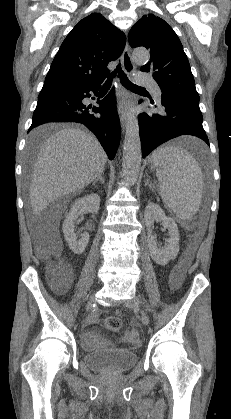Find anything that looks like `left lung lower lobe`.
I'll list each match as a JSON object with an SVG mask.
<instances>
[{
    "mask_svg": "<svg viewBox=\"0 0 231 419\" xmlns=\"http://www.w3.org/2000/svg\"><path fill=\"white\" fill-rule=\"evenodd\" d=\"M163 114L141 113L138 116L143 157L160 144L181 136L193 135L209 145L203 129L199 98L162 93Z\"/></svg>",
    "mask_w": 231,
    "mask_h": 419,
    "instance_id": "1",
    "label": "left lung lower lobe"
}]
</instances>
